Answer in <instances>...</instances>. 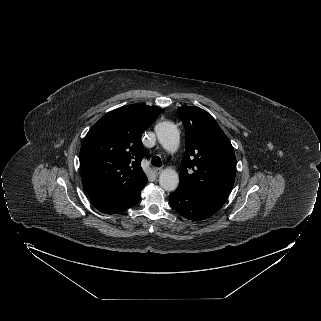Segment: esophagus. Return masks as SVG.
<instances>
[{"instance_id":"34e87169","label":"esophagus","mask_w":321,"mask_h":321,"mask_svg":"<svg viewBox=\"0 0 321 321\" xmlns=\"http://www.w3.org/2000/svg\"><path fill=\"white\" fill-rule=\"evenodd\" d=\"M152 170H153V173H154L156 176L160 175L161 172L163 171V169H162V168H159V167H154Z\"/></svg>"}]
</instances>
